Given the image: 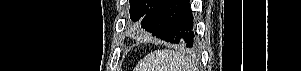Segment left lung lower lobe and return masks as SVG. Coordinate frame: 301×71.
I'll use <instances>...</instances> for the list:
<instances>
[{
  "mask_svg": "<svg viewBox=\"0 0 301 71\" xmlns=\"http://www.w3.org/2000/svg\"><path fill=\"white\" fill-rule=\"evenodd\" d=\"M141 27L167 42L187 48L196 46L189 0H158L142 18Z\"/></svg>",
  "mask_w": 301,
  "mask_h": 71,
  "instance_id": "obj_1",
  "label": "left lung lower lobe"
}]
</instances>
